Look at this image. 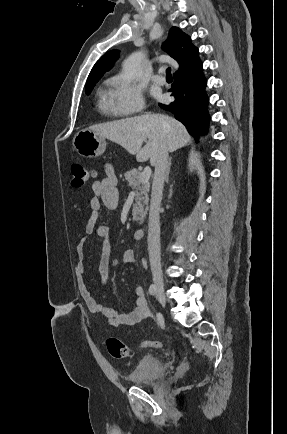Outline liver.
I'll list each match as a JSON object with an SVG mask.
<instances>
[{
	"label": "liver",
	"instance_id": "obj_1",
	"mask_svg": "<svg viewBox=\"0 0 287 434\" xmlns=\"http://www.w3.org/2000/svg\"><path fill=\"white\" fill-rule=\"evenodd\" d=\"M97 135L107 138L136 155L138 162L150 159L155 165L157 154L165 141L168 151L173 152L191 143V136L176 119L163 114L145 113L89 128ZM146 145L142 147L143 143Z\"/></svg>",
	"mask_w": 287,
	"mask_h": 434
}]
</instances>
